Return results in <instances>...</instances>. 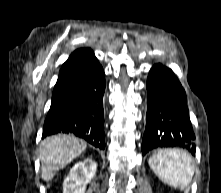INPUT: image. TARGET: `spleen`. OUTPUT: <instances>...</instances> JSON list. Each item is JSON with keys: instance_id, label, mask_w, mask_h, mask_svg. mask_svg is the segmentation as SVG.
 <instances>
[{"instance_id": "3e777b00", "label": "spleen", "mask_w": 221, "mask_h": 193, "mask_svg": "<svg viewBox=\"0 0 221 193\" xmlns=\"http://www.w3.org/2000/svg\"><path fill=\"white\" fill-rule=\"evenodd\" d=\"M148 163L156 176L169 186L184 189L191 183L194 167L185 151L163 149L154 153Z\"/></svg>"}]
</instances>
